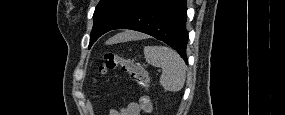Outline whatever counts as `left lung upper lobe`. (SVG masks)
<instances>
[{
	"instance_id": "obj_1",
	"label": "left lung upper lobe",
	"mask_w": 285,
	"mask_h": 115,
	"mask_svg": "<svg viewBox=\"0 0 285 115\" xmlns=\"http://www.w3.org/2000/svg\"><path fill=\"white\" fill-rule=\"evenodd\" d=\"M132 0H100L93 15L94 25L90 34L89 47L105 33L110 22L131 2Z\"/></svg>"
}]
</instances>
